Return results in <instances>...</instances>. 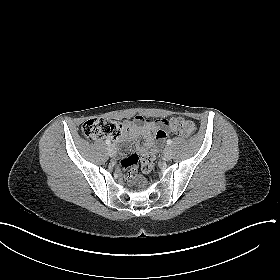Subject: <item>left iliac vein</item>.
I'll return each instance as SVG.
<instances>
[{
  "mask_svg": "<svg viewBox=\"0 0 280 280\" xmlns=\"http://www.w3.org/2000/svg\"><path fill=\"white\" fill-rule=\"evenodd\" d=\"M172 149L171 147L167 146L163 151V156L166 160H170L172 158Z\"/></svg>",
  "mask_w": 280,
  "mask_h": 280,
  "instance_id": "1",
  "label": "left iliac vein"
}]
</instances>
